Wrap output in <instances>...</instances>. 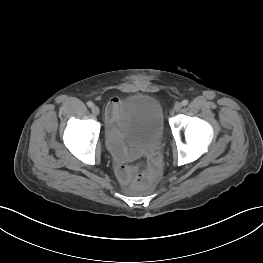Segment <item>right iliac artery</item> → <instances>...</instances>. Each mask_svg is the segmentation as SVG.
<instances>
[{
    "label": "right iliac artery",
    "instance_id": "obj_1",
    "mask_svg": "<svg viewBox=\"0 0 263 263\" xmlns=\"http://www.w3.org/2000/svg\"><path fill=\"white\" fill-rule=\"evenodd\" d=\"M87 105H88V107L92 108L94 104L91 101H89V102H87Z\"/></svg>",
    "mask_w": 263,
    "mask_h": 263
}]
</instances>
